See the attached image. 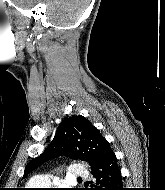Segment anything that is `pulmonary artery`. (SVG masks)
Here are the masks:
<instances>
[{
  "label": "pulmonary artery",
  "mask_w": 165,
  "mask_h": 190,
  "mask_svg": "<svg viewBox=\"0 0 165 190\" xmlns=\"http://www.w3.org/2000/svg\"><path fill=\"white\" fill-rule=\"evenodd\" d=\"M88 174L87 169L81 164H73L68 169V175L72 178H85ZM35 182L41 185H47L50 183V180L48 177L38 176L35 178Z\"/></svg>",
  "instance_id": "pulmonary-artery-1"
}]
</instances>
